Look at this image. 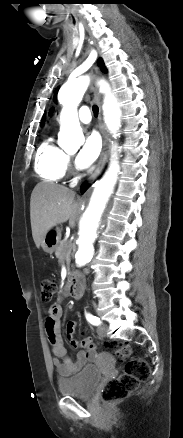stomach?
<instances>
[{
	"mask_svg": "<svg viewBox=\"0 0 183 438\" xmlns=\"http://www.w3.org/2000/svg\"><path fill=\"white\" fill-rule=\"evenodd\" d=\"M61 239V230L58 226L52 227L44 235L41 247L46 253H53L58 247Z\"/></svg>",
	"mask_w": 183,
	"mask_h": 438,
	"instance_id": "1",
	"label": "stomach"
}]
</instances>
